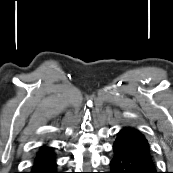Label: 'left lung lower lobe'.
<instances>
[{"label": "left lung lower lobe", "instance_id": "left-lung-lower-lobe-1", "mask_svg": "<svg viewBox=\"0 0 173 173\" xmlns=\"http://www.w3.org/2000/svg\"><path fill=\"white\" fill-rule=\"evenodd\" d=\"M108 173L157 172L150 151L115 141Z\"/></svg>", "mask_w": 173, "mask_h": 173}]
</instances>
